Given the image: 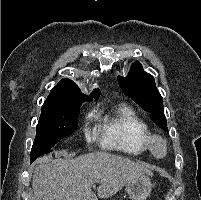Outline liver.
<instances>
[{
	"label": "liver",
	"instance_id": "1",
	"mask_svg": "<svg viewBox=\"0 0 201 200\" xmlns=\"http://www.w3.org/2000/svg\"><path fill=\"white\" fill-rule=\"evenodd\" d=\"M150 169L124 157L104 152L74 159L51 157L40 161L34 170L32 200H98L115 195L124 185ZM99 183L97 196L92 185Z\"/></svg>",
	"mask_w": 201,
	"mask_h": 200
}]
</instances>
